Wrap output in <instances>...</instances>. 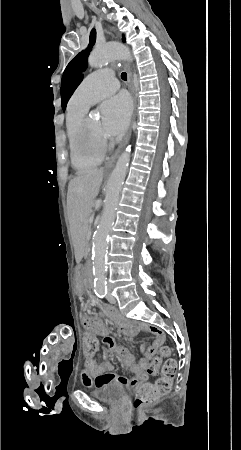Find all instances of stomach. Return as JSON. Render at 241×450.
Here are the masks:
<instances>
[{
  "label": "stomach",
  "instance_id": "obj_1",
  "mask_svg": "<svg viewBox=\"0 0 241 450\" xmlns=\"http://www.w3.org/2000/svg\"><path fill=\"white\" fill-rule=\"evenodd\" d=\"M84 282H85V277H84L82 267L80 265H78L75 269L74 285L78 290L81 291L83 289Z\"/></svg>",
  "mask_w": 241,
  "mask_h": 450
}]
</instances>
